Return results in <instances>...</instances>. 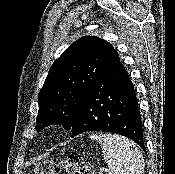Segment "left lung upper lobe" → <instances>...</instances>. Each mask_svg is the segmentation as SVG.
<instances>
[{
  "label": "left lung upper lobe",
  "instance_id": "5c2ea615",
  "mask_svg": "<svg viewBox=\"0 0 175 174\" xmlns=\"http://www.w3.org/2000/svg\"><path fill=\"white\" fill-rule=\"evenodd\" d=\"M119 63L118 53L103 39L89 36L74 42L53 63L39 93L37 130L56 123L69 129L83 96Z\"/></svg>",
  "mask_w": 175,
  "mask_h": 174
}]
</instances>
